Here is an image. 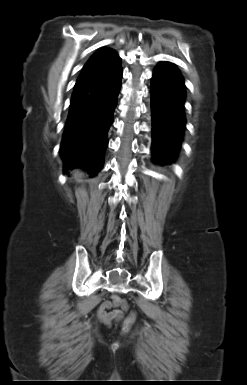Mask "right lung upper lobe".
Returning a JSON list of instances; mask_svg holds the SVG:
<instances>
[{
	"label": "right lung upper lobe",
	"instance_id": "obj_1",
	"mask_svg": "<svg viewBox=\"0 0 247 385\" xmlns=\"http://www.w3.org/2000/svg\"><path fill=\"white\" fill-rule=\"evenodd\" d=\"M120 62L117 53L109 48H104L96 52L83 67L78 79L87 77L95 72L109 68Z\"/></svg>",
	"mask_w": 247,
	"mask_h": 385
}]
</instances>
